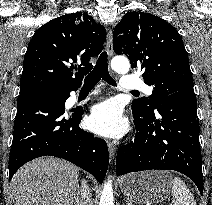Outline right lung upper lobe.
<instances>
[{
	"label": "right lung upper lobe",
	"instance_id": "obj_1",
	"mask_svg": "<svg viewBox=\"0 0 212 205\" xmlns=\"http://www.w3.org/2000/svg\"><path fill=\"white\" fill-rule=\"evenodd\" d=\"M105 38V28L86 13L66 14L44 24L28 45L20 93L47 85L80 87Z\"/></svg>",
	"mask_w": 212,
	"mask_h": 205
}]
</instances>
